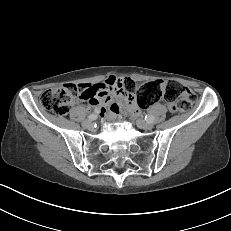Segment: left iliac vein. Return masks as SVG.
I'll list each match as a JSON object with an SVG mask.
<instances>
[{
  "label": "left iliac vein",
  "instance_id": "4c4485c4",
  "mask_svg": "<svg viewBox=\"0 0 231 231\" xmlns=\"http://www.w3.org/2000/svg\"><path fill=\"white\" fill-rule=\"evenodd\" d=\"M137 123L144 130H151L153 128V125L150 122H146V121L141 120V119H139L137 121Z\"/></svg>",
  "mask_w": 231,
  "mask_h": 231
}]
</instances>
